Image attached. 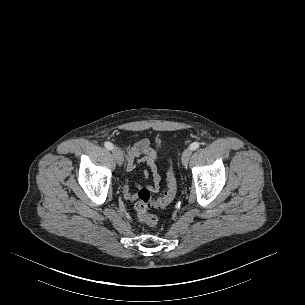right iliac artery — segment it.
<instances>
[{"mask_svg": "<svg viewBox=\"0 0 305 305\" xmlns=\"http://www.w3.org/2000/svg\"><path fill=\"white\" fill-rule=\"evenodd\" d=\"M105 148H107L108 150H112L113 149V144L111 142H105L104 143Z\"/></svg>", "mask_w": 305, "mask_h": 305, "instance_id": "obj_1", "label": "right iliac artery"}]
</instances>
